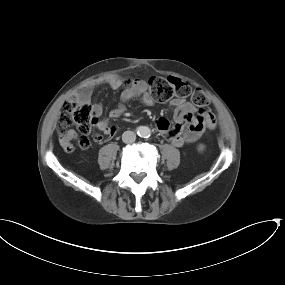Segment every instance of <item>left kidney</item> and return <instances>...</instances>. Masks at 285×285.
I'll use <instances>...</instances> for the list:
<instances>
[{
	"label": "left kidney",
	"mask_w": 285,
	"mask_h": 285,
	"mask_svg": "<svg viewBox=\"0 0 285 285\" xmlns=\"http://www.w3.org/2000/svg\"><path fill=\"white\" fill-rule=\"evenodd\" d=\"M203 149H204V145H202V144H201V145H199V150H201V151H202Z\"/></svg>",
	"instance_id": "5707ae66"
}]
</instances>
